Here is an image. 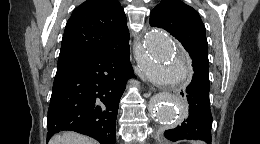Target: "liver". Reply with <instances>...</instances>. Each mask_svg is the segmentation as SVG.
<instances>
[{"mask_svg": "<svg viewBox=\"0 0 260 144\" xmlns=\"http://www.w3.org/2000/svg\"><path fill=\"white\" fill-rule=\"evenodd\" d=\"M49 144H97L96 141L75 132H63L54 135Z\"/></svg>", "mask_w": 260, "mask_h": 144, "instance_id": "liver-1", "label": "liver"}]
</instances>
